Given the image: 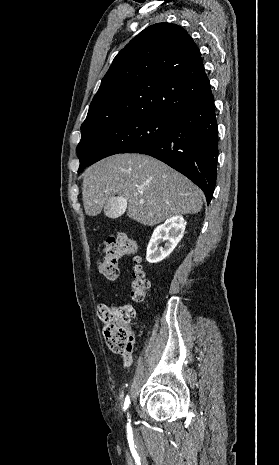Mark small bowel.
<instances>
[{"label":"small bowel","instance_id":"obj_1","mask_svg":"<svg viewBox=\"0 0 279 465\" xmlns=\"http://www.w3.org/2000/svg\"><path fill=\"white\" fill-rule=\"evenodd\" d=\"M122 361H123V367L128 368L132 363V354L131 353L123 354Z\"/></svg>","mask_w":279,"mask_h":465}]
</instances>
